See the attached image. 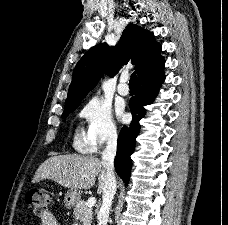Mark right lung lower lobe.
Returning <instances> with one entry per match:
<instances>
[{
	"mask_svg": "<svg viewBox=\"0 0 228 225\" xmlns=\"http://www.w3.org/2000/svg\"><path fill=\"white\" fill-rule=\"evenodd\" d=\"M164 63V58L160 56L138 73V90L136 95L132 97L129 102L133 120L129 127L125 126L122 128L118 137L114 166L116 172L126 185L130 179L132 167L130 156L134 151L136 137L140 130L139 121L146 112L143 106L153 102L165 79L163 74Z\"/></svg>",
	"mask_w": 228,
	"mask_h": 225,
	"instance_id": "obj_1",
	"label": "right lung lower lobe"
}]
</instances>
